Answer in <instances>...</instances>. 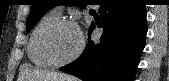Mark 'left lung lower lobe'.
I'll use <instances>...</instances> for the list:
<instances>
[{"instance_id": "obj_1", "label": "left lung lower lobe", "mask_w": 169, "mask_h": 81, "mask_svg": "<svg viewBox=\"0 0 169 81\" xmlns=\"http://www.w3.org/2000/svg\"><path fill=\"white\" fill-rule=\"evenodd\" d=\"M104 32L99 43L89 40L82 55L60 68L83 81H133L145 46L147 21L141 0H101ZM94 29L92 24L90 32Z\"/></svg>"}]
</instances>
